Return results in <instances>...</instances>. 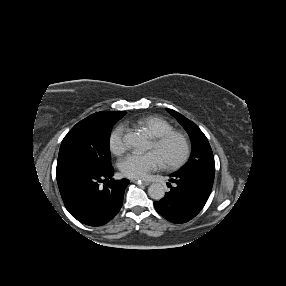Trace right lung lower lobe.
<instances>
[{
  "mask_svg": "<svg viewBox=\"0 0 286 286\" xmlns=\"http://www.w3.org/2000/svg\"><path fill=\"white\" fill-rule=\"evenodd\" d=\"M114 169L78 166L57 172L59 190L68 212L78 221L100 226L120 210L129 180L115 181Z\"/></svg>",
  "mask_w": 286,
  "mask_h": 286,
  "instance_id": "98d812e1",
  "label": "right lung lower lobe"
}]
</instances>
